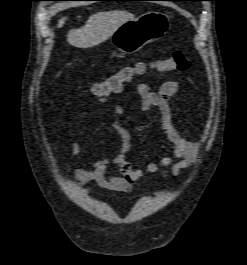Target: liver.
Wrapping results in <instances>:
<instances>
[{"label":"liver","instance_id":"1","mask_svg":"<svg viewBox=\"0 0 247 265\" xmlns=\"http://www.w3.org/2000/svg\"><path fill=\"white\" fill-rule=\"evenodd\" d=\"M67 17L58 21L61 28ZM134 19V15L127 11L98 12L91 15L86 24L78 29H71L67 33V41L77 48H91L106 41L125 22Z\"/></svg>","mask_w":247,"mask_h":265}]
</instances>
